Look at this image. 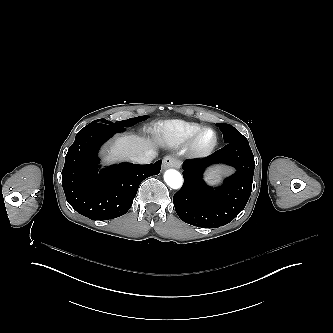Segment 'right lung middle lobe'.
Listing matches in <instances>:
<instances>
[{
	"label": "right lung middle lobe",
	"mask_w": 333,
	"mask_h": 333,
	"mask_svg": "<svg viewBox=\"0 0 333 333\" xmlns=\"http://www.w3.org/2000/svg\"><path fill=\"white\" fill-rule=\"evenodd\" d=\"M147 118H148V116H140V117H135V118H130L128 120L120 121L117 123H113V122L107 121L105 119H98V120H94L93 122H101V123L110 124V125L118 126V127H121L122 129H125L126 127L133 126L138 122L146 120Z\"/></svg>",
	"instance_id": "dd1d6c3e"
}]
</instances>
